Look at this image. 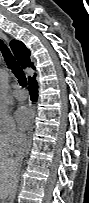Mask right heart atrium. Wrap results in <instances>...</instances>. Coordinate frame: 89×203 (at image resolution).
I'll list each match as a JSON object with an SVG mask.
<instances>
[{"label":"right heart atrium","mask_w":89,"mask_h":203,"mask_svg":"<svg viewBox=\"0 0 89 203\" xmlns=\"http://www.w3.org/2000/svg\"><path fill=\"white\" fill-rule=\"evenodd\" d=\"M25 140V136L21 133L14 120L3 115L0 118V144L8 153H12L20 148Z\"/></svg>","instance_id":"right-heart-atrium-1"}]
</instances>
